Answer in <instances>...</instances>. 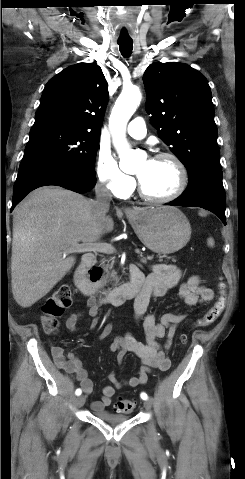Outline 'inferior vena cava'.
Listing matches in <instances>:
<instances>
[{"label":"inferior vena cava","instance_id":"1","mask_svg":"<svg viewBox=\"0 0 245 479\" xmlns=\"http://www.w3.org/2000/svg\"><path fill=\"white\" fill-rule=\"evenodd\" d=\"M95 193L96 199L91 200V205L98 216L104 217L109 210L112 194L103 183L96 185Z\"/></svg>","mask_w":245,"mask_h":479}]
</instances>
